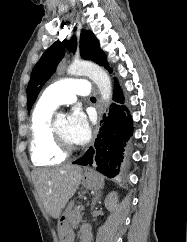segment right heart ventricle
I'll return each instance as SVG.
<instances>
[{
  "mask_svg": "<svg viewBox=\"0 0 187 242\" xmlns=\"http://www.w3.org/2000/svg\"><path fill=\"white\" fill-rule=\"evenodd\" d=\"M54 109L39 101L31 116L30 155L37 166L56 165L65 160V156L54 148L51 139L50 124Z\"/></svg>",
  "mask_w": 187,
  "mask_h": 242,
  "instance_id": "e07e8e85",
  "label": "right heart ventricle"
}]
</instances>
